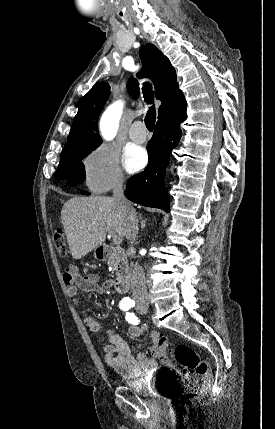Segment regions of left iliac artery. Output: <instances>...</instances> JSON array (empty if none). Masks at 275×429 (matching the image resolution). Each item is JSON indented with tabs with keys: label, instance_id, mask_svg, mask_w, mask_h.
<instances>
[{
	"label": "left iliac artery",
	"instance_id": "44dca946",
	"mask_svg": "<svg viewBox=\"0 0 275 429\" xmlns=\"http://www.w3.org/2000/svg\"><path fill=\"white\" fill-rule=\"evenodd\" d=\"M126 320L130 323V324H133V325H137L138 324V319H137V317L134 315V314H132V313H129V312H127L126 313Z\"/></svg>",
	"mask_w": 275,
	"mask_h": 429
}]
</instances>
